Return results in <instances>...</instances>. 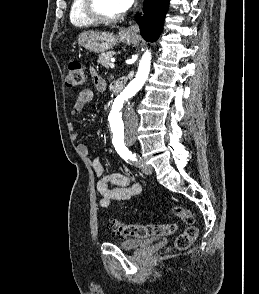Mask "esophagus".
Returning <instances> with one entry per match:
<instances>
[{
  "instance_id": "34e87169",
  "label": "esophagus",
  "mask_w": 259,
  "mask_h": 294,
  "mask_svg": "<svg viewBox=\"0 0 259 294\" xmlns=\"http://www.w3.org/2000/svg\"><path fill=\"white\" fill-rule=\"evenodd\" d=\"M139 32V26L137 24H133L125 29V33L131 36H136Z\"/></svg>"
}]
</instances>
